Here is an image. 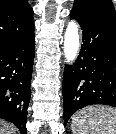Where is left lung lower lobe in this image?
<instances>
[{"instance_id": "left-lung-lower-lobe-1", "label": "left lung lower lobe", "mask_w": 116, "mask_h": 134, "mask_svg": "<svg viewBox=\"0 0 116 134\" xmlns=\"http://www.w3.org/2000/svg\"><path fill=\"white\" fill-rule=\"evenodd\" d=\"M83 31V44L63 77L64 126L89 105L116 107V20L71 11Z\"/></svg>"}]
</instances>
